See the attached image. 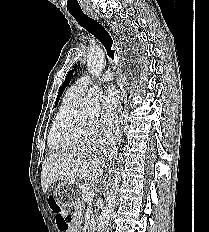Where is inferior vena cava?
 Returning a JSON list of instances; mask_svg holds the SVG:
<instances>
[{"mask_svg": "<svg viewBox=\"0 0 209 232\" xmlns=\"http://www.w3.org/2000/svg\"><path fill=\"white\" fill-rule=\"evenodd\" d=\"M113 131H114V127L113 128H109L108 131L105 132V137L110 142L114 141V139H113Z\"/></svg>", "mask_w": 209, "mask_h": 232, "instance_id": "1", "label": "inferior vena cava"}]
</instances>
